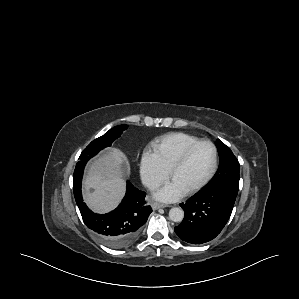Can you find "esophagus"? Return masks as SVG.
I'll return each instance as SVG.
<instances>
[{"instance_id": "obj_1", "label": "esophagus", "mask_w": 299, "mask_h": 299, "mask_svg": "<svg viewBox=\"0 0 299 299\" xmlns=\"http://www.w3.org/2000/svg\"><path fill=\"white\" fill-rule=\"evenodd\" d=\"M151 206H152V209H153V210H156V209H159V208H164V207H166V205H164V204H162V203H158V202H153V203L151 204Z\"/></svg>"}]
</instances>
